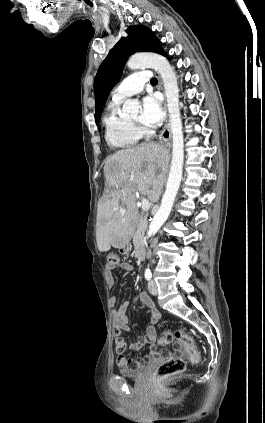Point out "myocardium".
<instances>
[{
  "label": "myocardium",
  "instance_id": "obj_1",
  "mask_svg": "<svg viewBox=\"0 0 265 423\" xmlns=\"http://www.w3.org/2000/svg\"><path fill=\"white\" fill-rule=\"evenodd\" d=\"M131 123H132V125L139 131V130H143V127L141 126V124L139 123V122H135V121H132V120H129Z\"/></svg>",
  "mask_w": 265,
  "mask_h": 423
}]
</instances>
